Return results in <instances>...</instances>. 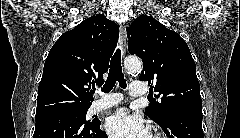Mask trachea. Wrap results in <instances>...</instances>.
Listing matches in <instances>:
<instances>
[{"label": "trachea", "instance_id": "3493384b", "mask_svg": "<svg viewBox=\"0 0 240 138\" xmlns=\"http://www.w3.org/2000/svg\"><path fill=\"white\" fill-rule=\"evenodd\" d=\"M118 82L122 88H126V80L124 79V74L122 72L121 64V52L117 49L110 61V69L108 73L107 80L101 89L104 93H108L112 90L115 83ZM95 92V89L92 90Z\"/></svg>", "mask_w": 240, "mask_h": 138}]
</instances>
